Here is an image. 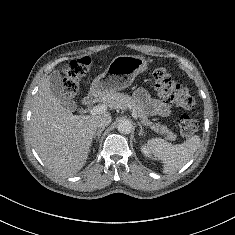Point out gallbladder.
<instances>
[{"label": "gallbladder", "instance_id": "bac80fb5", "mask_svg": "<svg viewBox=\"0 0 235 235\" xmlns=\"http://www.w3.org/2000/svg\"><path fill=\"white\" fill-rule=\"evenodd\" d=\"M50 83H51V88H52L54 94L56 95L57 100L61 104L68 107L71 111H76L77 110L76 103L73 101L70 102V101L66 100L62 95L63 94L62 91H60L61 77L58 72H53L50 75Z\"/></svg>", "mask_w": 235, "mask_h": 235}]
</instances>
